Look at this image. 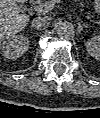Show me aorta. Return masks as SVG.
Here are the masks:
<instances>
[{"label":"aorta","instance_id":"762f6f07","mask_svg":"<svg viewBox=\"0 0 100 118\" xmlns=\"http://www.w3.org/2000/svg\"><path fill=\"white\" fill-rule=\"evenodd\" d=\"M56 32L60 37H70L74 34V27L68 21H61L56 25Z\"/></svg>","mask_w":100,"mask_h":118}]
</instances>
